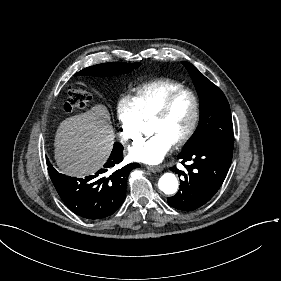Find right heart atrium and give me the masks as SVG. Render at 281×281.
<instances>
[{
    "mask_svg": "<svg viewBox=\"0 0 281 281\" xmlns=\"http://www.w3.org/2000/svg\"><path fill=\"white\" fill-rule=\"evenodd\" d=\"M117 119L121 127V141L127 144L139 138V118L130 101L120 97L116 104ZM128 147V146H127Z\"/></svg>",
    "mask_w": 281,
    "mask_h": 281,
    "instance_id": "d8ad5b80",
    "label": "right heart atrium"
}]
</instances>
